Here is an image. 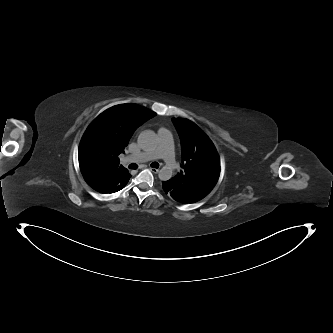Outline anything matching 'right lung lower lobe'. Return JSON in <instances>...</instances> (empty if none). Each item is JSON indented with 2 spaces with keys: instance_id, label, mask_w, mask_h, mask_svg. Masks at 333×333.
<instances>
[{
  "instance_id": "98d812e1",
  "label": "right lung lower lobe",
  "mask_w": 333,
  "mask_h": 333,
  "mask_svg": "<svg viewBox=\"0 0 333 333\" xmlns=\"http://www.w3.org/2000/svg\"><path fill=\"white\" fill-rule=\"evenodd\" d=\"M82 175L87 182V184L100 193H113L121 190L125 187L127 182L129 181L131 175L127 176L124 180H122L119 184L115 186H111V184H101L97 178H95V172L93 171V165L85 166L82 170Z\"/></svg>"
}]
</instances>
